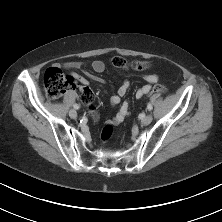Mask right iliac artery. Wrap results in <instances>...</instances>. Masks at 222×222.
Here are the masks:
<instances>
[{
    "mask_svg": "<svg viewBox=\"0 0 222 222\" xmlns=\"http://www.w3.org/2000/svg\"><path fill=\"white\" fill-rule=\"evenodd\" d=\"M73 107H74L75 109H79V105H78V104H74Z\"/></svg>",
    "mask_w": 222,
    "mask_h": 222,
    "instance_id": "right-iliac-artery-1",
    "label": "right iliac artery"
}]
</instances>
